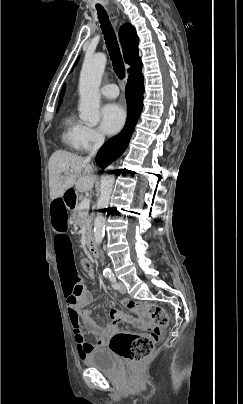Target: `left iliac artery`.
<instances>
[{"label":"left iliac artery","mask_w":243,"mask_h":404,"mask_svg":"<svg viewBox=\"0 0 243 404\" xmlns=\"http://www.w3.org/2000/svg\"><path fill=\"white\" fill-rule=\"evenodd\" d=\"M108 278H109V280H110V282H111L112 287H113L114 289H118V288H119V284L117 283L114 274L110 273V275H109Z\"/></svg>","instance_id":"1"}]
</instances>
